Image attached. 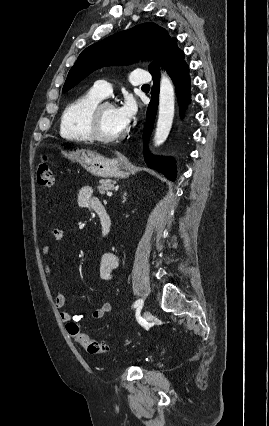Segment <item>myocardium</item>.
I'll list each match as a JSON object with an SVG mask.
<instances>
[{
  "label": "myocardium",
  "mask_w": 269,
  "mask_h": 426,
  "mask_svg": "<svg viewBox=\"0 0 269 426\" xmlns=\"http://www.w3.org/2000/svg\"><path fill=\"white\" fill-rule=\"evenodd\" d=\"M106 107H115V105L110 101L101 100L91 109L88 117V128L92 139L101 143H115L122 140L127 135V130H124L122 134L115 137H107L101 132L100 116L103 109Z\"/></svg>",
  "instance_id": "f54148a6"
}]
</instances>
